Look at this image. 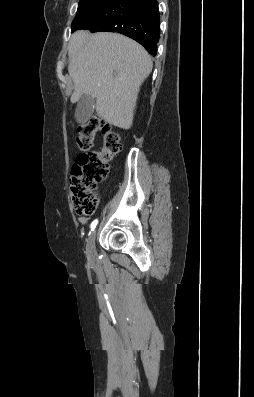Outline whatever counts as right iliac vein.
<instances>
[{"label": "right iliac vein", "instance_id": "1", "mask_svg": "<svg viewBox=\"0 0 254 397\" xmlns=\"http://www.w3.org/2000/svg\"><path fill=\"white\" fill-rule=\"evenodd\" d=\"M95 240H96V230L89 235L86 246L87 256L91 260L94 259L96 256Z\"/></svg>", "mask_w": 254, "mask_h": 397}]
</instances>
